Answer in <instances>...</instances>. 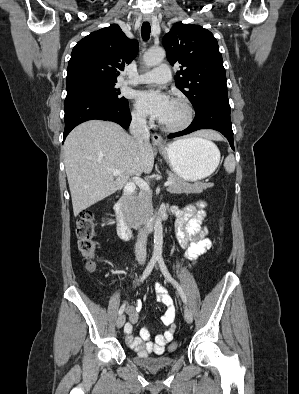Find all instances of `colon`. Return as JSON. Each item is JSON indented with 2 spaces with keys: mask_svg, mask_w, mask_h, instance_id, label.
<instances>
[{
  "mask_svg": "<svg viewBox=\"0 0 299 394\" xmlns=\"http://www.w3.org/2000/svg\"><path fill=\"white\" fill-rule=\"evenodd\" d=\"M222 230L223 226H221ZM76 235L78 238V249L87 261L86 266L88 269H93L99 262V257L97 255V243L95 241L96 225L94 215L90 210L83 212L78 220ZM175 348V344L169 346L170 350H174Z\"/></svg>",
  "mask_w": 299,
  "mask_h": 394,
  "instance_id": "obj_1",
  "label": "colon"
}]
</instances>
